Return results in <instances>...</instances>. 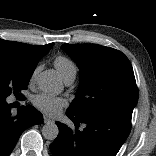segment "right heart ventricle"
Listing matches in <instances>:
<instances>
[{"mask_svg":"<svg viewBox=\"0 0 156 156\" xmlns=\"http://www.w3.org/2000/svg\"><path fill=\"white\" fill-rule=\"evenodd\" d=\"M54 65L64 80L71 75H76V65L72 60L65 56L56 57V59L54 60Z\"/></svg>","mask_w":156,"mask_h":156,"instance_id":"e07e8e85","label":"right heart ventricle"}]
</instances>
